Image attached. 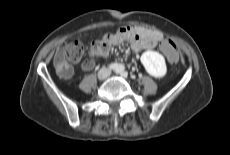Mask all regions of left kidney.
Segmentation results:
<instances>
[{
  "instance_id": "obj_1",
  "label": "left kidney",
  "mask_w": 230,
  "mask_h": 155,
  "mask_svg": "<svg viewBox=\"0 0 230 155\" xmlns=\"http://www.w3.org/2000/svg\"><path fill=\"white\" fill-rule=\"evenodd\" d=\"M140 61L146 72L155 78H162L167 73L165 59L156 51H145L141 55Z\"/></svg>"
}]
</instances>
